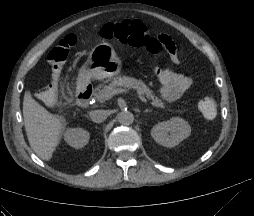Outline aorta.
<instances>
[{"mask_svg": "<svg viewBox=\"0 0 254 216\" xmlns=\"http://www.w3.org/2000/svg\"><path fill=\"white\" fill-rule=\"evenodd\" d=\"M118 121L122 125H130L134 121V116L132 112L128 110H123L117 115Z\"/></svg>", "mask_w": 254, "mask_h": 216, "instance_id": "aorta-1", "label": "aorta"}]
</instances>
